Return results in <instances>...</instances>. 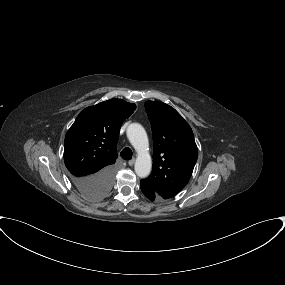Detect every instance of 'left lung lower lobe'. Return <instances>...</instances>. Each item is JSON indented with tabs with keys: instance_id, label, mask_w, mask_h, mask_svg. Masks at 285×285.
<instances>
[{
	"instance_id": "0a47b994",
	"label": "left lung lower lobe",
	"mask_w": 285,
	"mask_h": 285,
	"mask_svg": "<svg viewBox=\"0 0 285 285\" xmlns=\"http://www.w3.org/2000/svg\"><path fill=\"white\" fill-rule=\"evenodd\" d=\"M140 187L143 194L151 201H154L156 197H161L144 179L140 181Z\"/></svg>"
}]
</instances>
